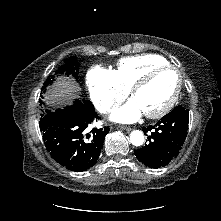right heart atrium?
Here are the masks:
<instances>
[{"mask_svg": "<svg viewBox=\"0 0 221 221\" xmlns=\"http://www.w3.org/2000/svg\"><path fill=\"white\" fill-rule=\"evenodd\" d=\"M86 82L90 98L101 113L115 108L129 92L118 81L114 71L101 66H94L88 71Z\"/></svg>", "mask_w": 221, "mask_h": 221, "instance_id": "obj_1", "label": "right heart atrium"}]
</instances>
